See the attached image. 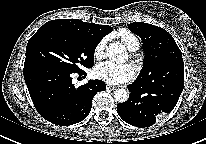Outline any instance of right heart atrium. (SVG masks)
Masks as SVG:
<instances>
[{
    "mask_svg": "<svg viewBox=\"0 0 206 144\" xmlns=\"http://www.w3.org/2000/svg\"><path fill=\"white\" fill-rule=\"evenodd\" d=\"M106 45V38L101 39L94 48V56L101 59L104 56V49Z\"/></svg>",
    "mask_w": 206,
    "mask_h": 144,
    "instance_id": "right-heart-atrium-1",
    "label": "right heart atrium"
}]
</instances>
